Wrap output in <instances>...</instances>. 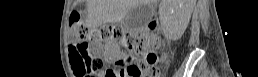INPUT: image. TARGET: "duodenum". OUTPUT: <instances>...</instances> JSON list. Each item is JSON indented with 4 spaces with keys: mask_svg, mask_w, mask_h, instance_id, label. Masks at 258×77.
Instances as JSON below:
<instances>
[{
    "mask_svg": "<svg viewBox=\"0 0 258 77\" xmlns=\"http://www.w3.org/2000/svg\"><path fill=\"white\" fill-rule=\"evenodd\" d=\"M155 25V22H152V26H154Z\"/></svg>",
    "mask_w": 258,
    "mask_h": 77,
    "instance_id": "duodenum-1",
    "label": "duodenum"
}]
</instances>
